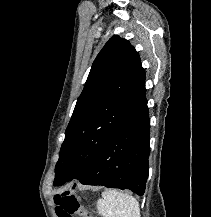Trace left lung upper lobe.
Instances as JSON below:
<instances>
[{"mask_svg":"<svg viewBox=\"0 0 211 217\" xmlns=\"http://www.w3.org/2000/svg\"><path fill=\"white\" fill-rule=\"evenodd\" d=\"M147 102L145 70L129 41L114 35L97 55L65 131L54 186L74 179L110 134ZM85 152V160L79 153Z\"/></svg>","mask_w":211,"mask_h":217,"instance_id":"1","label":"left lung upper lobe"}]
</instances>
